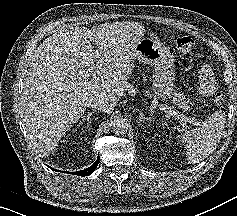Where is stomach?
Wrapping results in <instances>:
<instances>
[{"instance_id":"0dacf381","label":"stomach","mask_w":237,"mask_h":216,"mask_svg":"<svg viewBox=\"0 0 237 216\" xmlns=\"http://www.w3.org/2000/svg\"><path fill=\"white\" fill-rule=\"evenodd\" d=\"M134 55L139 62L154 66L157 72L154 82L157 98L161 100L170 98L173 94L174 77L169 50L154 39L144 38L135 46Z\"/></svg>"}]
</instances>
